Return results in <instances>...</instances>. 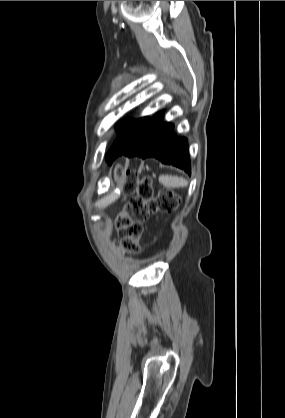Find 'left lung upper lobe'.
Listing matches in <instances>:
<instances>
[{
  "label": "left lung upper lobe",
  "instance_id": "obj_1",
  "mask_svg": "<svg viewBox=\"0 0 285 418\" xmlns=\"http://www.w3.org/2000/svg\"><path fill=\"white\" fill-rule=\"evenodd\" d=\"M147 121L148 117L138 120L126 119L118 126L117 130L120 131L119 139L106 155V160L109 164L126 150Z\"/></svg>",
  "mask_w": 285,
  "mask_h": 418
}]
</instances>
